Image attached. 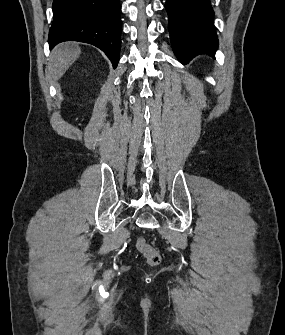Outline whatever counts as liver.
Returning <instances> with one entry per match:
<instances>
[{"instance_id":"obj_1","label":"liver","mask_w":285,"mask_h":335,"mask_svg":"<svg viewBox=\"0 0 285 335\" xmlns=\"http://www.w3.org/2000/svg\"><path fill=\"white\" fill-rule=\"evenodd\" d=\"M79 54H81V50L73 42H64V44H59L54 48L50 56L49 70L55 82L62 78L73 62H76Z\"/></svg>"}]
</instances>
